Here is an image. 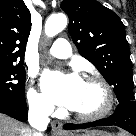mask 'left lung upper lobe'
I'll list each match as a JSON object with an SVG mask.
<instances>
[{
  "label": "left lung upper lobe",
  "mask_w": 136,
  "mask_h": 136,
  "mask_svg": "<svg viewBox=\"0 0 136 136\" xmlns=\"http://www.w3.org/2000/svg\"><path fill=\"white\" fill-rule=\"evenodd\" d=\"M68 30L80 54L113 86L119 103L135 101L132 62L120 18L95 0H63Z\"/></svg>",
  "instance_id": "obj_1"
}]
</instances>
